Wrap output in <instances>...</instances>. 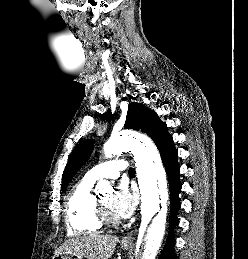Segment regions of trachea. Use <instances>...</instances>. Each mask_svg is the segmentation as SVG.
<instances>
[{"mask_svg": "<svg viewBox=\"0 0 248 259\" xmlns=\"http://www.w3.org/2000/svg\"><path fill=\"white\" fill-rule=\"evenodd\" d=\"M128 172H129V174H135V169L134 168H130Z\"/></svg>", "mask_w": 248, "mask_h": 259, "instance_id": "1", "label": "trachea"}]
</instances>
